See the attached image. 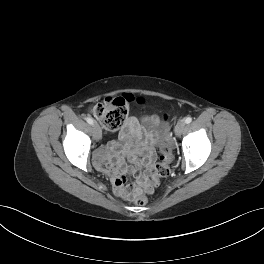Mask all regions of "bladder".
<instances>
[{"label": "bladder", "instance_id": "1", "mask_svg": "<svg viewBox=\"0 0 264 264\" xmlns=\"http://www.w3.org/2000/svg\"><path fill=\"white\" fill-rule=\"evenodd\" d=\"M143 128L158 141L161 140L169 130V124L162 118H148L144 121Z\"/></svg>", "mask_w": 264, "mask_h": 264}]
</instances>
